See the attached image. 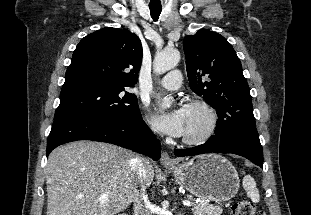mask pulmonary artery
Masks as SVG:
<instances>
[{"instance_id": "1", "label": "pulmonary artery", "mask_w": 311, "mask_h": 215, "mask_svg": "<svg viewBox=\"0 0 311 215\" xmlns=\"http://www.w3.org/2000/svg\"><path fill=\"white\" fill-rule=\"evenodd\" d=\"M182 84V74L179 70H172L159 81V86L167 90H177Z\"/></svg>"}]
</instances>
